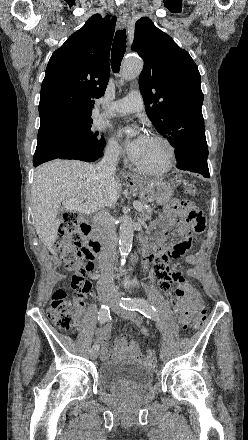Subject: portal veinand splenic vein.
<instances>
[{
	"label": "portal vein and splenic vein",
	"mask_w": 248,
	"mask_h": 440,
	"mask_svg": "<svg viewBox=\"0 0 248 440\" xmlns=\"http://www.w3.org/2000/svg\"><path fill=\"white\" fill-rule=\"evenodd\" d=\"M82 202H83V200L67 199V200H64L62 204L65 209L71 210V211L72 210L78 211L82 214H90L96 210V208L93 205L83 204ZM133 206L138 211H142L144 208L143 205L141 204V202H139V201H134Z\"/></svg>",
	"instance_id": "18ae733b"
}]
</instances>
